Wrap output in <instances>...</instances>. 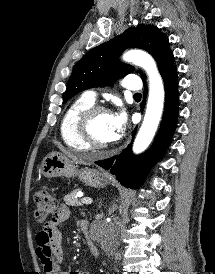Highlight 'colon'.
Instances as JSON below:
<instances>
[{
    "label": "colon",
    "mask_w": 215,
    "mask_h": 274,
    "mask_svg": "<svg viewBox=\"0 0 215 274\" xmlns=\"http://www.w3.org/2000/svg\"><path fill=\"white\" fill-rule=\"evenodd\" d=\"M35 210L34 217L37 222L45 223L54 214L57 207V200L54 194L47 188L36 191L34 196Z\"/></svg>",
    "instance_id": "colon-1"
}]
</instances>
